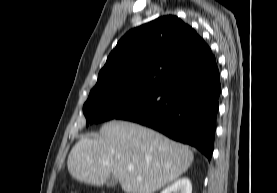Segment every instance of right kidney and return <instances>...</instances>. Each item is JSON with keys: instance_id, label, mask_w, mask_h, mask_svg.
I'll return each instance as SVG.
<instances>
[{"instance_id": "ca27d5eb", "label": "right kidney", "mask_w": 277, "mask_h": 193, "mask_svg": "<svg viewBox=\"0 0 277 193\" xmlns=\"http://www.w3.org/2000/svg\"><path fill=\"white\" fill-rule=\"evenodd\" d=\"M161 193H192V185L188 178L183 177L165 188Z\"/></svg>"}]
</instances>
